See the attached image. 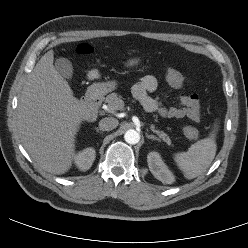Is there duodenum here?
I'll return each mask as SVG.
<instances>
[{
	"label": "duodenum",
	"mask_w": 248,
	"mask_h": 248,
	"mask_svg": "<svg viewBox=\"0 0 248 248\" xmlns=\"http://www.w3.org/2000/svg\"><path fill=\"white\" fill-rule=\"evenodd\" d=\"M102 97L98 91H91L84 100V108L88 120H93L97 109L100 107Z\"/></svg>",
	"instance_id": "duodenum-1"
}]
</instances>
